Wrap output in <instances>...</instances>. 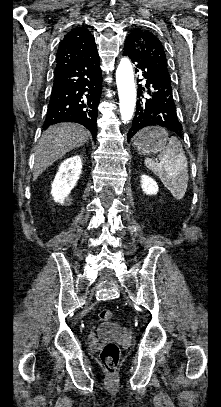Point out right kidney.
<instances>
[{
	"mask_svg": "<svg viewBox=\"0 0 221 407\" xmlns=\"http://www.w3.org/2000/svg\"><path fill=\"white\" fill-rule=\"evenodd\" d=\"M82 170V159L79 155L67 158L61 163L55 179L51 185V195L55 202L70 204L72 200L68 197L76 185Z\"/></svg>",
	"mask_w": 221,
	"mask_h": 407,
	"instance_id": "1",
	"label": "right kidney"
}]
</instances>
